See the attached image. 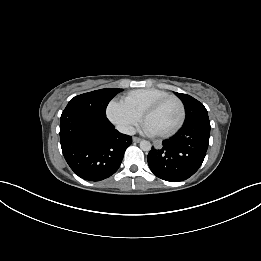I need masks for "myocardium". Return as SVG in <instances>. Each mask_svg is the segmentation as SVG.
<instances>
[{
	"instance_id": "1",
	"label": "myocardium",
	"mask_w": 261,
	"mask_h": 261,
	"mask_svg": "<svg viewBox=\"0 0 261 261\" xmlns=\"http://www.w3.org/2000/svg\"><path fill=\"white\" fill-rule=\"evenodd\" d=\"M170 100L176 101L177 104L179 105V108H180V119H179L178 123L176 124V126L174 128H172L171 130L166 131V132L155 133L156 136H159V137H170V136L174 135L175 133H177L181 129L183 124H184L185 117H186L185 105H184L183 101L179 97H177L175 95L165 96L163 98H160V99L156 100L152 104H150L142 113V121L145 122L146 118L151 113L156 111L160 106H162L164 103H166V102H168Z\"/></svg>"
}]
</instances>
